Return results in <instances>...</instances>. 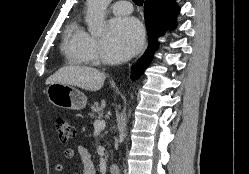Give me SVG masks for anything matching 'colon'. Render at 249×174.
Returning a JSON list of instances; mask_svg holds the SVG:
<instances>
[{
    "label": "colon",
    "mask_w": 249,
    "mask_h": 174,
    "mask_svg": "<svg viewBox=\"0 0 249 174\" xmlns=\"http://www.w3.org/2000/svg\"><path fill=\"white\" fill-rule=\"evenodd\" d=\"M54 126L57 131L59 140L62 143H67L74 136V129L71 123L64 117H56Z\"/></svg>",
    "instance_id": "colon-1"
}]
</instances>
